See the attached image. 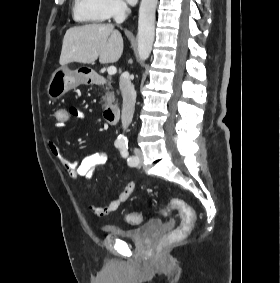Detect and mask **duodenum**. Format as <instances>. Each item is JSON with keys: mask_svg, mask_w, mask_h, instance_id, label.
Returning <instances> with one entry per match:
<instances>
[{"mask_svg": "<svg viewBox=\"0 0 280 283\" xmlns=\"http://www.w3.org/2000/svg\"><path fill=\"white\" fill-rule=\"evenodd\" d=\"M86 83L94 85H104L106 80L98 74H89L84 77ZM103 116L108 124H116L119 120V107L117 104L112 103L107 106L103 111Z\"/></svg>", "mask_w": 280, "mask_h": 283, "instance_id": "obj_1", "label": "duodenum"}]
</instances>
